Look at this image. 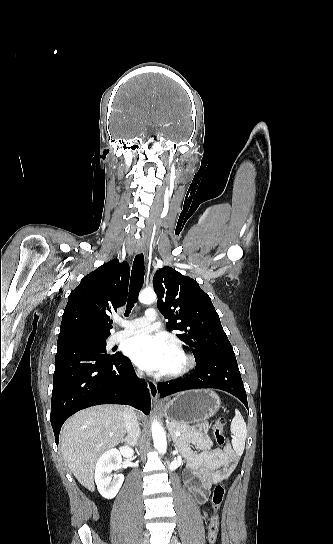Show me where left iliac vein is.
<instances>
[{"label": "left iliac vein", "mask_w": 333, "mask_h": 544, "mask_svg": "<svg viewBox=\"0 0 333 544\" xmlns=\"http://www.w3.org/2000/svg\"><path fill=\"white\" fill-rule=\"evenodd\" d=\"M170 544H178L177 539L175 537L171 538Z\"/></svg>", "instance_id": "1"}]
</instances>
